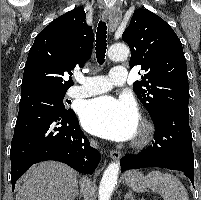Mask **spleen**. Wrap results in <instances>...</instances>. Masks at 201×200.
Segmentation results:
<instances>
[{
	"mask_svg": "<svg viewBox=\"0 0 201 200\" xmlns=\"http://www.w3.org/2000/svg\"><path fill=\"white\" fill-rule=\"evenodd\" d=\"M147 185L159 193L164 200H189L187 190L179 179L161 171H151L146 176Z\"/></svg>",
	"mask_w": 201,
	"mask_h": 200,
	"instance_id": "obj_1",
	"label": "spleen"
}]
</instances>
